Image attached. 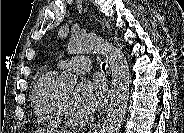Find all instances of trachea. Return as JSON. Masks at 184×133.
Masks as SVG:
<instances>
[{"label":"trachea","mask_w":184,"mask_h":133,"mask_svg":"<svg viewBox=\"0 0 184 133\" xmlns=\"http://www.w3.org/2000/svg\"><path fill=\"white\" fill-rule=\"evenodd\" d=\"M106 63L102 64V70L105 71Z\"/></svg>","instance_id":"trachea-1"}]
</instances>
